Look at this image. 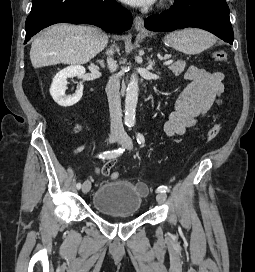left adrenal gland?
Here are the masks:
<instances>
[{"label": "left adrenal gland", "mask_w": 255, "mask_h": 272, "mask_svg": "<svg viewBox=\"0 0 255 272\" xmlns=\"http://www.w3.org/2000/svg\"><path fill=\"white\" fill-rule=\"evenodd\" d=\"M155 65V61H154V59H153V61H151L150 62V67H151V69L153 70V66Z\"/></svg>", "instance_id": "left-adrenal-gland-1"}]
</instances>
